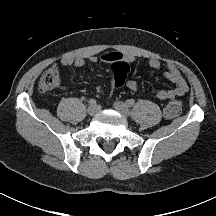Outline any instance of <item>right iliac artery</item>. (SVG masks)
Masks as SVG:
<instances>
[{"label": "right iliac artery", "mask_w": 216, "mask_h": 216, "mask_svg": "<svg viewBox=\"0 0 216 216\" xmlns=\"http://www.w3.org/2000/svg\"><path fill=\"white\" fill-rule=\"evenodd\" d=\"M89 104L90 105H96V100L95 99H90Z\"/></svg>", "instance_id": "obj_1"}]
</instances>
